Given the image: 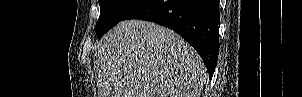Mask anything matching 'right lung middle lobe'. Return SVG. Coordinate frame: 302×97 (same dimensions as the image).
<instances>
[{
    "label": "right lung middle lobe",
    "mask_w": 302,
    "mask_h": 97,
    "mask_svg": "<svg viewBox=\"0 0 302 97\" xmlns=\"http://www.w3.org/2000/svg\"><path fill=\"white\" fill-rule=\"evenodd\" d=\"M142 0H99L100 17L95 27L98 38H101L110 28Z\"/></svg>",
    "instance_id": "1"
}]
</instances>
